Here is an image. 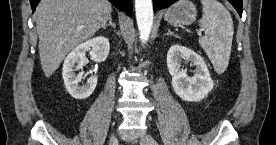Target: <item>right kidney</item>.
<instances>
[{
  "instance_id": "ca27d5eb",
  "label": "right kidney",
  "mask_w": 276,
  "mask_h": 145,
  "mask_svg": "<svg viewBox=\"0 0 276 145\" xmlns=\"http://www.w3.org/2000/svg\"><path fill=\"white\" fill-rule=\"evenodd\" d=\"M91 47V59L95 62H103L107 59L110 44L106 37L99 36L96 38L89 39L84 43L76 46L65 58L62 68V76L66 90L69 94L78 100L88 98L94 92L98 77L94 75L89 78L86 84L80 86L83 73L75 74V70L80 69L83 65L88 63L86 58V51Z\"/></svg>"
}]
</instances>
